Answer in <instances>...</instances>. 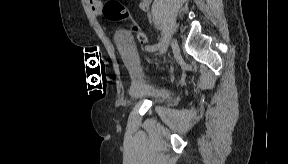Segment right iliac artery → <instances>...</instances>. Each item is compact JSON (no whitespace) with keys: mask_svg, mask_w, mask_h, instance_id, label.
I'll list each match as a JSON object with an SVG mask.
<instances>
[{"mask_svg":"<svg viewBox=\"0 0 288 164\" xmlns=\"http://www.w3.org/2000/svg\"><path fill=\"white\" fill-rule=\"evenodd\" d=\"M161 44L162 43L159 42V43L154 44V45H146L145 50L152 54L153 52L157 51L160 48Z\"/></svg>","mask_w":288,"mask_h":164,"instance_id":"1","label":"right iliac artery"}]
</instances>
